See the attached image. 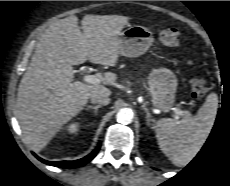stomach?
<instances>
[{"label": "stomach", "mask_w": 230, "mask_h": 186, "mask_svg": "<svg viewBox=\"0 0 230 186\" xmlns=\"http://www.w3.org/2000/svg\"><path fill=\"white\" fill-rule=\"evenodd\" d=\"M120 54L138 57L152 45V32L139 25L129 26L120 35ZM147 82L152 103L164 112L170 111L175 102L178 80L175 73L165 67L153 68Z\"/></svg>", "instance_id": "stomach-1"}]
</instances>
